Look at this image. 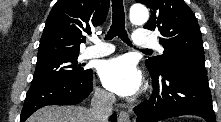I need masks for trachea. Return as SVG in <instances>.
<instances>
[{
	"label": "trachea",
	"mask_w": 221,
	"mask_h": 122,
	"mask_svg": "<svg viewBox=\"0 0 221 122\" xmlns=\"http://www.w3.org/2000/svg\"><path fill=\"white\" fill-rule=\"evenodd\" d=\"M112 25L105 37L106 40H111L118 36L129 46H132L131 41L128 38V34L125 30V13L122 0H112ZM144 51H151L144 49Z\"/></svg>",
	"instance_id": "obj_1"
}]
</instances>
